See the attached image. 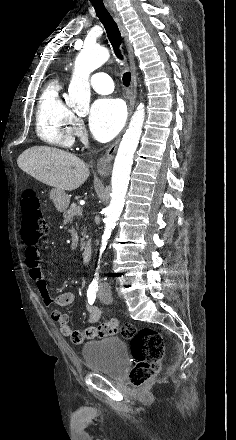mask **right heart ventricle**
Here are the masks:
<instances>
[{
    "label": "right heart ventricle",
    "instance_id": "1",
    "mask_svg": "<svg viewBox=\"0 0 236 440\" xmlns=\"http://www.w3.org/2000/svg\"><path fill=\"white\" fill-rule=\"evenodd\" d=\"M62 85L51 79L42 91L36 111V132L46 143L68 148L74 142L75 116L61 98Z\"/></svg>",
    "mask_w": 236,
    "mask_h": 440
}]
</instances>
